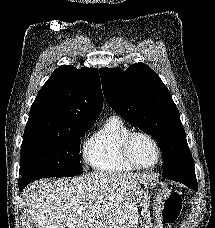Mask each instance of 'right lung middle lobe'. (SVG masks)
Segmentation results:
<instances>
[{
  "label": "right lung middle lobe",
  "mask_w": 215,
  "mask_h": 228,
  "mask_svg": "<svg viewBox=\"0 0 215 228\" xmlns=\"http://www.w3.org/2000/svg\"><path fill=\"white\" fill-rule=\"evenodd\" d=\"M94 124L82 122L25 131L21 145L19 182L69 177L83 172L79 161L81 137Z\"/></svg>",
  "instance_id": "right-lung-middle-lobe-1"
}]
</instances>
